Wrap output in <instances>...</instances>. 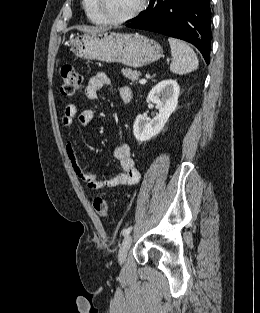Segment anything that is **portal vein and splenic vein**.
Wrapping results in <instances>:
<instances>
[{
  "label": "portal vein and splenic vein",
  "instance_id": "1",
  "mask_svg": "<svg viewBox=\"0 0 260 313\" xmlns=\"http://www.w3.org/2000/svg\"><path fill=\"white\" fill-rule=\"evenodd\" d=\"M139 82H140V84H146L147 80L146 79H141Z\"/></svg>",
  "mask_w": 260,
  "mask_h": 313
}]
</instances>
